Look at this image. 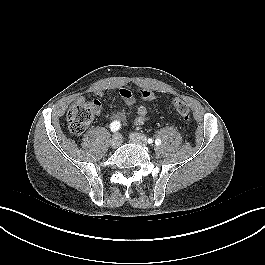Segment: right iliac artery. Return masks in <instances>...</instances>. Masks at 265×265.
Returning <instances> with one entry per match:
<instances>
[{"mask_svg":"<svg viewBox=\"0 0 265 265\" xmlns=\"http://www.w3.org/2000/svg\"><path fill=\"white\" fill-rule=\"evenodd\" d=\"M120 127H121V124H120V122H118V121H113V122L110 124V129H111L112 132H116V131H118V130L120 129Z\"/></svg>","mask_w":265,"mask_h":265,"instance_id":"82829eb1","label":"right iliac artery"}]
</instances>
